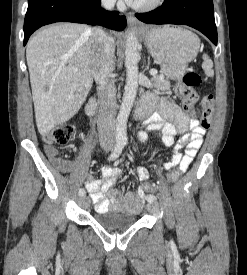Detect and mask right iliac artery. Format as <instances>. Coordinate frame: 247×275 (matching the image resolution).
Returning a JSON list of instances; mask_svg holds the SVG:
<instances>
[{"mask_svg": "<svg viewBox=\"0 0 247 275\" xmlns=\"http://www.w3.org/2000/svg\"><path fill=\"white\" fill-rule=\"evenodd\" d=\"M123 145L124 143L119 141L116 143V146L113 150V152L111 153V155L109 156V160H114L116 159L117 157H119V155L121 154L122 152V149H123ZM79 196H84L85 195V190L84 188H81L79 189V192H78Z\"/></svg>", "mask_w": 247, "mask_h": 275, "instance_id": "right-iliac-artery-1", "label": "right iliac artery"}]
</instances>
